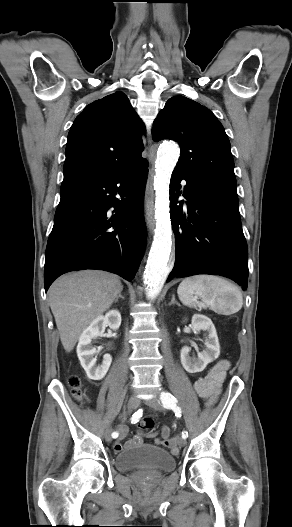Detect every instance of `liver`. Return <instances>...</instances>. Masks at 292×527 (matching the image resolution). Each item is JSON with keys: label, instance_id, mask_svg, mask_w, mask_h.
<instances>
[{"label": "liver", "instance_id": "1", "mask_svg": "<svg viewBox=\"0 0 292 527\" xmlns=\"http://www.w3.org/2000/svg\"><path fill=\"white\" fill-rule=\"evenodd\" d=\"M122 289L116 275L97 270L64 275L50 286L49 305L66 352L73 350L87 325L110 308Z\"/></svg>", "mask_w": 292, "mask_h": 527}]
</instances>
